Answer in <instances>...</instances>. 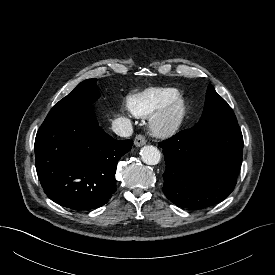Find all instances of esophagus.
Listing matches in <instances>:
<instances>
[{
    "mask_svg": "<svg viewBox=\"0 0 275 275\" xmlns=\"http://www.w3.org/2000/svg\"><path fill=\"white\" fill-rule=\"evenodd\" d=\"M134 144L137 147H141L146 144V138L143 135L139 134L135 137Z\"/></svg>",
    "mask_w": 275,
    "mask_h": 275,
    "instance_id": "obj_1",
    "label": "esophagus"
}]
</instances>
